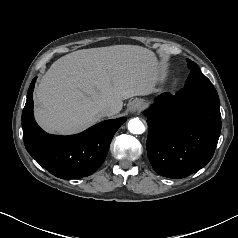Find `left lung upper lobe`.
Instances as JSON below:
<instances>
[{
  "label": "left lung upper lobe",
  "mask_w": 238,
  "mask_h": 238,
  "mask_svg": "<svg viewBox=\"0 0 238 238\" xmlns=\"http://www.w3.org/2000/svg\"><path fill=\"white\" fill-rule=\"evenodd\" d=\"M187 60V67L191 70L185 83L184 91L187 94H204L217 97L218 94L210 80L200 71L195 62Z\"/></svg>",
  "instance_id": "1"
}]
</instances>
